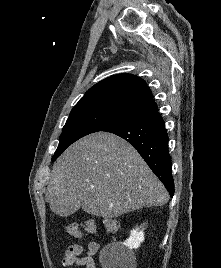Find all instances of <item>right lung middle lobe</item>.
Here are the masks:
<instances>
[{
  "instance_id": "1",
  "label": "right lung middle lobe",
  "mask_w": 221,
  "mask_h": 268,
  "mask_svg": "<svg viewBox=\"0 0 221 268\" xmlns=\"http://www.w3.org/2000/svg\"><path fill=\"white\" fill-rule=\"evenodd\" d=\"M126 121L123 117L105 110H84L71 112L62 129L59 146L52 157L57 159L73 142L90 133L106 129Z\"/></svg>"
}]
</instances>
